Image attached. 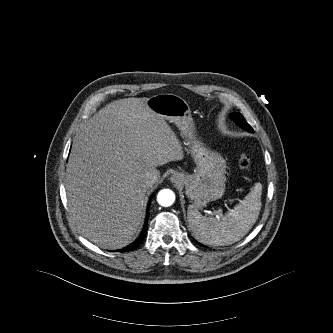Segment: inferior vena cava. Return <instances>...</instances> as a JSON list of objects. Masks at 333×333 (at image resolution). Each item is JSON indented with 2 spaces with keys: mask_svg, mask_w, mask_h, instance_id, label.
Here are the masks:
<instances>
[{
  "mask_svg": "<svg viewBox=\"0 0 333 333\" xmlns=\"http://www.w3.org/2000/svg\"><path fill=\"white\" fill-rule=\"evenodd\" d=\"M159 179V171L157 169H152L146 174L145 183L147 186H152Z\"/></svg>",
  "mask_w": 333,
  "mask_h": 333,
  "instance_id": "602c4592",
  "label": "inferior vena cava"
}]
</instances>
